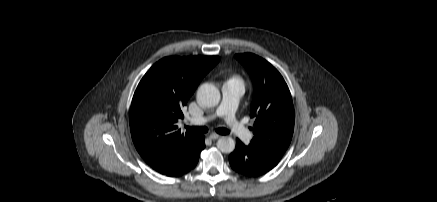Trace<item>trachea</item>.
Returning <instances> with one entry per match:
<instances>
[{
  "label": "trachea",
  "mask_w": 437,
  "mask_h": 202,
  "mask_svg": "<svg viewBox=\"0 0 437 202\" xmlns=\"http://www.w3.org/2000/svg\"><path fill=\"white\" fill-rule=\"evenodd\" d=\"M186 128H187V130H189L193 133H196V134H204V133L208 132V128L205 126H201V127H189V126H187ZM215 131L221 135L229 134V130L226 128H217Z\"/></svg>",
  "instance_id": "trachea-1"
}]
</instances>
